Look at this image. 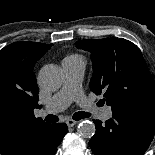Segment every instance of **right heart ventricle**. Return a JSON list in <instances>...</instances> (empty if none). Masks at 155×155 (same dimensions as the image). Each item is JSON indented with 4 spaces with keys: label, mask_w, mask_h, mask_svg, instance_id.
Here are the masks:
<instances>
[{
    "label": "right heart ventricle",
    "mask_w": 155,
    "mask_h": 155,
    "mask_svg": "<svg viewBox=\"0 0 155 155\" xmlns=\"http://www.w3.org/2000/svg\"><path fill=\"white\" fill-rule=\"evenodd\" d=\"M65 59H82V57L78 54H71L67 56Z\"/></svg>",
    "instance_id": "right-heart-ventricle-1"
}]
</instances>
